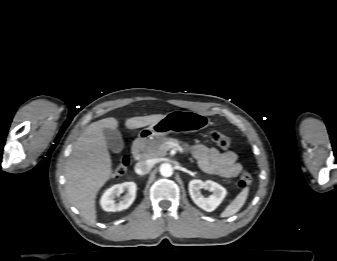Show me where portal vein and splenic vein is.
Listing matches in <instances>:
<instances>
[{"mask_svg":"<svg viewBox=\"0 0 337 261\" xmlns=\"http://www.w3.org/2000/svg\"><path fill=\"white\" fill-rule=\"evenodd\" d=\"M165 149L166 150L175 149V150L179 151L180 153H183L182 147L179 144L175 143V142H168V143H166Z\"/></svg>","mask_w":337,"mask_h":261,"instance_id":"1","label":"portal vein and splenic vein"}]
</instances>
